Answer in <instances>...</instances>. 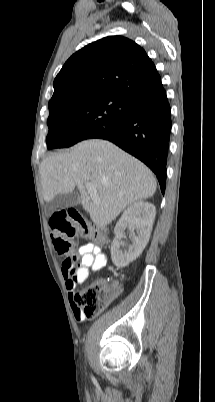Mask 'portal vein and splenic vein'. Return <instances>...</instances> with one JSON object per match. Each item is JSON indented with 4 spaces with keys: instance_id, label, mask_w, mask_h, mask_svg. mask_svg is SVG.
I'll list each match as a JSON object with an SVG mask.
<instances>
[{
    "instance_id": "1",
    "label": "portal vein and splenic vein",
    "mask_w": 215,
    "mask_h": 402,
    "mask_svg": "<svg viewBox=\"0 0 215 402\" xmlns=\"http://www.w3.org/2000/svg\"><path fill=\"white\" fill-rule=\"evenodd\" d=\"M86 189H87L88 193L90 194V196H91L93 199H96V198H97V192H96V189H95V187H94L93 184H91V183H86Z\"/></svg>"
}]
</instances>
